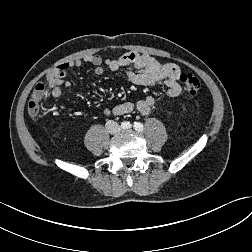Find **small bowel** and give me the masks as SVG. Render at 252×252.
Here are the masks:
<instances>
[{
	"mask_svg": "<svg viewBox=\"0 0 252 252\" xmlns=\"http://www.w3.org/2000/svg\"><path fill=\"white\" fill-rule=\"evenodd\" d=\"M83 63L91 64L94 73L97 75L103 74L104 65L112 71L127 69L126 79L128 82L142 86L163 84L170 97H177L182 92L181 85L178 82L181 70L177 64L160 63L149 55L127 52L119 57L105 60L98 54H91L61 65L58 71L47 75L48 87L53 98L61 97L62 87L70 88L71 83L64 80L67 70L73 66H81ZM55 74L57 75L56 79ZM154 105V97L147 96L135 103L125 102L112 109H106L105 114L124 115L137 111L140 115L146 116L150 114Z\"/></svg>",
	"mask_w": 252,
	"mask_h": 252,
	"instance_id": "small-bowel-1",
	"label": "small bowel"
}]
</instances>
